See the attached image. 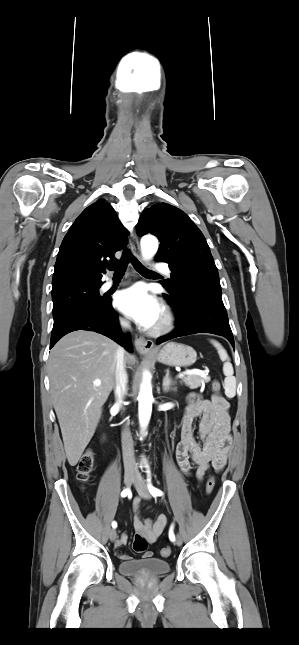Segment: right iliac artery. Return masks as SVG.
Returning <instances> with one entry per match:
<instances>
[{
    "instance_id": "right-iliac-artery-1",
    "label": "right iliac artery",
    "mask_w": 299,
    "mask_h": 645,
    "mask_svg": "<svg viewBox=\"0 0 299 645\" xmlns=\"http://www.w3.org/2000/svg\"><path fill=\"white\" fill-rule=\"evenodd\" d=\"M127 495H128V496H130V495H131V491H130V489H125V490H123V491L121 492V496H122V497H126ZM112 527H113V528H116V527H117V523H116L115 521H114V522H112Z\"/></svg>"
}]
</instances>
